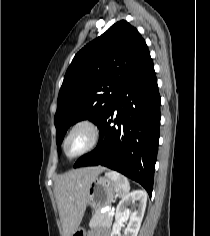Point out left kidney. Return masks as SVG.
<instances>
[{
  "label": "left kidney",
  "instance_id": "5707ae66",
  "mask_svg": "<svg viewBox=\"0 0 210 236\" xmlns=\"http://www.w3.org/2000/svg\"><path fill=\"white\" fill-rule=\"evenodd\" d=\"M135 201L138 202V210L130 211L128 206ZM147 203V193L143 190L132 191L119 202L115 213V223L113 224L111 236H121L120 229L124 220L129 218V223L125 228L123 236H137L144 216Z\"/></svg>",
  "mask_w": 210,
  "mask_h": 236
}]
</instances>
